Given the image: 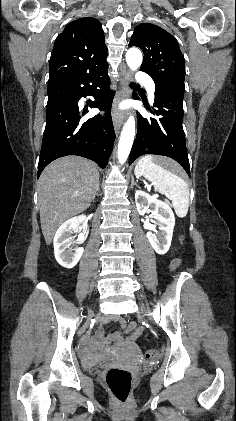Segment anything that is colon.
<instances>
[{
    "label": "colon",
    "instance_id": "5ec220e1",
    "mask_svg": "<svg viewBox=\"0 0 236 421\" xmlns=\"http://www.w3.org/2000/svg\"><path fill=\"white\" fill-rule=\"evenodd\" d=\"M145 354L147 358H153L157 355V350L150 348ZM105 381L118 401L125 402L127 400L133 384V376L130 371L113 367L107 371Z\"/></svg>",
    "mask_w": 236,
    "mask_h": 421
}]
</instances>
